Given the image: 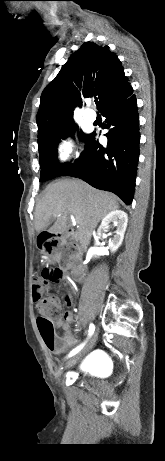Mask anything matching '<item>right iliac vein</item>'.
<instances>
[{
	"label": "right iliac vein",
	"mask_w": 165,
	"mask_h": 461,
	"mask_svg": "<svg viewBox=\"0 0 165 461\" xmlns=\"http://www.w3.org/2000/svg\"><path fill=\"white\" fill-rule=\"evenodd\" d=\"M97 337H98V334L97 332H94L93 335L91 336L89 342L87 343V345L85 346V348L79 353L77 354L76 356H74L73 358H71L67 364H66V367L67 368H70L72 367L73 365H75L77 363V361L82 357L84 356L87 352H89L95 345L96 341H97Z\"/></svg>",
	"instance_id": "obj_1"
}]
</instances>
